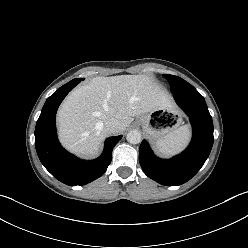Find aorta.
Masks as SVG:
<instances>
[{
    "mask_svg": "<svg viewBox=\"0 0 248 248\" xmlns=\"http://www.w3.org/2000/svg\"><path fill=\"white\" fill-rule=\"evenodd\" d=\"M127 141L131 144H138L141 142V133L137 130H132L127 134Z\"/></svg>",
    "mask_w": 248,
    "mask_h": 248,
    "instance_id": "762f6f07",
    "label": "aorta"
}]
</instances>
